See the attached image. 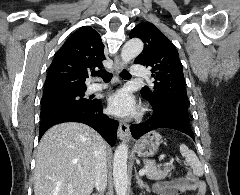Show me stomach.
I'll list each match as a JSON object with an SVG mask.
<instances>
[{
    "label": "stomach",
    "mask_w": 240,
    "mask_h": 195,
    "mask_svg": "<svg viewBox=\"0 0 240 195\" xmlns=\"http://www.w3.org/2000/svg\"><path fill=\"white\" fill-rule=\"evenodd\" d=\"M161 143V135L158 131H148L145 135H142L140 139H137L134 143L133 149H135L139 157H151L156 151Z\"/></svg>",
    "instance_id": "obj_1"
}]
</instances>
